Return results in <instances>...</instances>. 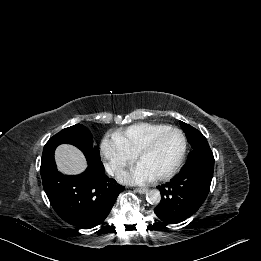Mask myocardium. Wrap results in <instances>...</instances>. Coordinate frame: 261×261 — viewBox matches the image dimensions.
I'll use <instances>...</instances> for the list:
<instances>
[{"label": "myocardium", "mask_w": 261, "mask_h": 261, "mask_svg": "<svg viewBox=\"0 0 261 261\" xmlns=\"http://www.w3.org/2000/svg\"><path fill=\"white\" fill-rule=\"evenodd\" d=\"M168 132H175L177 133L180 137H181V141H182V147H181V151L179 154V157L176 161V163L173 165V167L168 170L167 172L155 176V179L157 180H166L171 178L172 176H174L179 169L181 168L184 159H185V155H186V151H187V140L185 135L183 134V132L175 127H167L161 131H159L158 133H156L154 136H152L150 138V140L139 150V152L136 154V160L139 162L140 159L145 156L146 154H148L149 152H151L153 150V148L155 147L157 141L166 133Z\"/></svg>", "instance_id": "myocardium-1"}]
</instances>
